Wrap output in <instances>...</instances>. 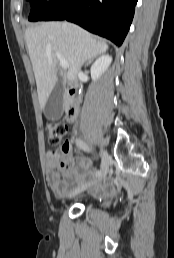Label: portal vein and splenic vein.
I'll return each mask as SVG.
<instances>
[{
    "instance_id": "portal-vein-and-splenic-vein-1",
    "label": "portal vein and splenic vein",
    "mask_w": 174,
    "mask_h": 258,
    "mask_svg": "<svg viewBox=\"0 0 174 258\" xmlns=\"http://www.w3.org/2000/svg\"><path fill=\"white\" fill-rule=\"evenodd\" d=\"M57 59L59 60L60 65L63 69H68L69 64L60 54H57Z\"/></svg>"
}]
</instances>
